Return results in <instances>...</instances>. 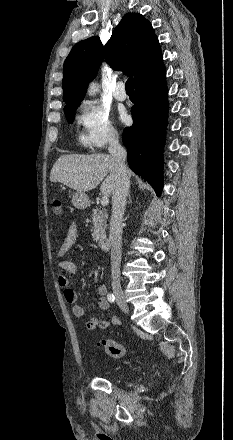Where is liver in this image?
<instances>
[{"instance_id":"1","label":"liver","mask_w":233,"mask_h":440,"mask_svg":"<svg viewBox=\"0 0 233 440\" xmlns=\"http://www.w3.org/2000/svg\"><path fill=\"white\" fill-rule=\"evenodd\" d=\"M127 172L130 177L132 172ZM116 179L115 161L107 154L62 155L50 173L51 182L63 183L78 192L95 189L103 181L100 191L107 196L113 194Z\"/></svg>"}]
</instances>
